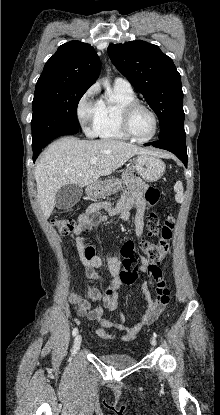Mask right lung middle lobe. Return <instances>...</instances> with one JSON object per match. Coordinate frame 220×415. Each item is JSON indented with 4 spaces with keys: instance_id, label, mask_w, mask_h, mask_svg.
I'll return each mask as SVG.
<instances>
[{
    "instance_id": "dd1d6c3e",
    "label": "right lung middle lobe",
    "mask_w": 220,
    "mask_h": 415,
    "mask_svg": "<svg viewBox=\"0 0 220 415\" xmlns=\"http://www.w3.org/2000/svg\"><path fill=\"white\" fill-rule=\"evenodd\" d=\"M89 87L72 84H36L33 99L32 148L78 132L77 105Z\"/></svg>"
}]
</instances>
